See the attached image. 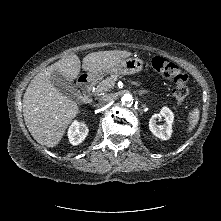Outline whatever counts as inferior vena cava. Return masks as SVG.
<instances>
[{
  "label": "inferior vena cava",
  "instance_id": "obj_1",
  "mask_svg": "<svg viewBox=\"0 0 221 221\" xmlns=\"http://www.w3.org/2000/svg\"><path fill=\"white\" fill-rule=\"evenodd\" d=\"M112 101H113V96L110 94L104 95V96L100 97L98 100L99 105H101V106L107 105Z\"/></svg>",
  "mask_w": 221,
  "mask_h": 221
}]
</instances>
